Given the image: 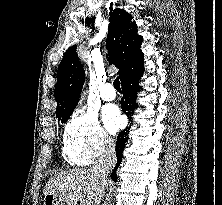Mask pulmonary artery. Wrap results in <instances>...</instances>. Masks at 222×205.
<instances>
[{
    "label": "pulmonary artery",
    "mask_w": 222,
    "mask_h": 205,
    "mask_svg": "<svg viewBox=\"0 0 222 205\" xmlns=\"http://www.w3.org/2000/svg\"><path fill=\"white\" fill-rule=\"evenodd\" d=\"M100 96L105 101H112L116 98V91L112 84L106 83L103 85Z\"/></svg>",
    "instance_id": "pulmonary-artery-1"
}]
</instances>
